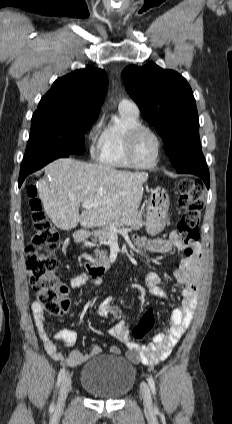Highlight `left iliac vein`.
Masks as SVG:
<instances>
[{
	"label": "left iliac vein",
	"mask_w": 232,
	"mask_h": 424,
	"mask_svg": "<svg viewBox=\"0 0 232 424\" xmlns=\"http://www.w3.org/2000/svg\"><path fill=\"white\" fill-rule=\"evenodd\" d=\"M141 396L143 399L144 410L147 414L153 413V403L149 386L142 382L140 386Z\"/></svg>",
	"instance_id": "4c4485c4"
}]
</instances>
